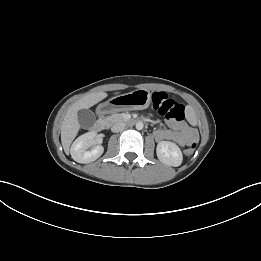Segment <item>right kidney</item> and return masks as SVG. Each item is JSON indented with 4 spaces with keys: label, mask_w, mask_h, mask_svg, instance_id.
I'll return each mask as SVG.
<instances>
[{
    "label": "right kidney",
    "mask_w": 261,
    "mask_h": 261,
    "mask_svg": "<svg viewBox=\"0 0 261 261\" xmlns=\"http://www.w3.org/2000/svg\"><path fill=\"white\" fill-rule=\"evenodd\" d=\"M96 136L97 135L95 132H88L79 136L73 142L70 153L74 161L82 164H87L95 161L103 154L104 148L101 145H97L91 150H88Z\"/></svg>",
    "instance_id": "obj_1"
}]
</instances>
